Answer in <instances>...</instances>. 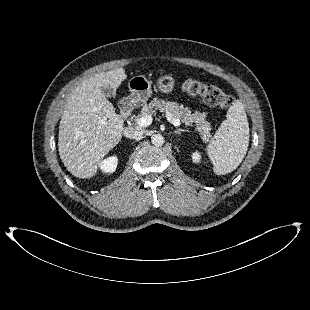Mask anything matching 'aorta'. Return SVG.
Wrapping results in <instances>:
<instances>
[{
  "mask_svg": "<svg viewBox=\"0 0 310 310\" xmlns=\"http://www.w3.org/2000/svg\"><path fill=\"white\" fill-rule=\"evenodd\" d=\"M151 142L154 146H162L165 142L164 137L161 134H154L151 137Z\"/></svg>",
  "mask_w": 310,
  "mask_h": 310,
  "instance_id": "1",
  "label": "aorta"
}]
</instances>
